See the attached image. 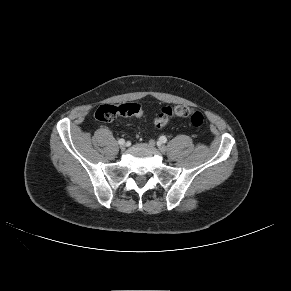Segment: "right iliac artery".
Returning a JSON list of instances; mask_svg holds the SVG:
<instances>
[{
    "instance_id": "obj_1",
    "label": "right iliac artery",
    "mask_w": 291,
    "mask_h": 291,
    "mask_svg": "<svg viewBox=\"0 0 291 291\" xmlns=\"http://www.w3.org/2000/svg\"><path fill=\"white\" fill-rule=\"evenodd\" d=\"M118 143L121 145V144H124L125 143V140L124 139H119L118 140Z\"/></svg>"
}]
</instances>
